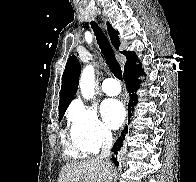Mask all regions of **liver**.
<instances>
[{"label":"liver","mask_w":196,"mask_h":182,"mask_svg":"<svg viewBox=\"0 0 196 182\" xmlns=\"http://www.w3.org/2000/svg\"><path fill=\"white\" fill-rule=\"evenodd\" d=\"M113 172L109 162L91 158L64 165L57 182H111Z\"/></svg>","instance_id":"1"}]
</instances>
